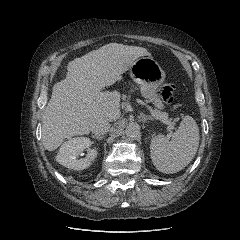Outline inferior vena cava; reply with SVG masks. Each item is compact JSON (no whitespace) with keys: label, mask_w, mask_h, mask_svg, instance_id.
Wrapping results in <instances>:
<instances>
[{"label":"inferior vena cava","mask_w":240,"mask_h":240,"mask_svg":"<svg viewBox=\"0 0 240 240\" xmlns=\"http://www.w3.org/2000/svg\"><path fill=\"white\" fill-rule=\"evenodd\" d=\"M110 129V123L106 120L99 121L97 124L94 125L92 128V133L96 136L106 134Z\"/></svg>","instance_id":"obj_1"}]
</instances>
